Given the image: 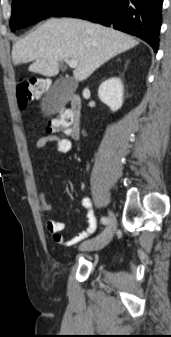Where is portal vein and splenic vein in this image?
I'll use <instances>...</instances> for the list:
<instances>
[{
  "mask_svg": "<svg viewBox=\"0 0 171 337\" xmlns=\"http://www.w3.org/2000/svg\"><path fill=\"white\" fill-rule=\"evenodd\" d=\"M64 61L69 65V67L71 68H76L78 66V61L77 60H74V59H68V58H65Z\"/></svg>",
  "mask_w": 171,
  "mask_h": 337,
  "instance_id": "18ae733b",
  "label": "portal vein and splenic vein"
}]
</instances>
